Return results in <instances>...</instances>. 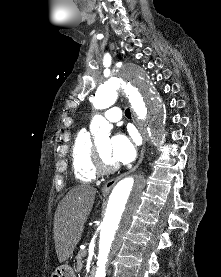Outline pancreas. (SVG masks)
I'll use <instances>...</instances> for the list:
<instances>
[{"label": "pancreas", "mask_w": 221, "mask_h": 277, "mask_svg": "<svg viewBox=\"0 0 221 277\" xmlns=\"http://www.w3.org/2000/svg\"><path fill=\"white\" fill-rule=\"evenodd\" d=\"M87 254V251L86 250H80L78 252V255H77V269H81L82 268V258L85 257Z\"/></svg>", "instance_id": "cf45deb5"}]
</instances>
